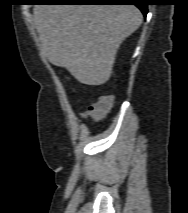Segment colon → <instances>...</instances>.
<instances>
[{
  "instance_id": "obj_1",
  "label": "colon",
  "mask_w": 188,
  "mask_h": 213,
  "mask_svg": "<svg viewBox=\"0 0 188 213\" xmlns=\"http://www.w3.org/2000/svg\"><path fill=\"white\" fill-rule=\"evenodd\" d=\"M113 105V97L111 95H103L97 98L88 109V114L95 118H100L110 111Z\"/></svg>"
}]
</instances>
